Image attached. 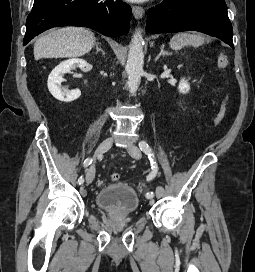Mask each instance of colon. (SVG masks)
<instances>
[{
    "instance_id": "obj_1",
    "label": "colon",
    "mask_w": 255,
    "mask_h": 272,
    "mask_svg": "<svg viewBox=\"0 0 255 272\" xmlns=\"http://www.w3.org/2000/svg\"><path fill=\"white\" fill-rule=\"evenodd\" d=\"M217 65L222 73H224L229 65L228 57L224 53H220L217 57ZM226 114V97L224 96L221 100L219 109L216 114L215 124L219 125L224 119ZM120 179L119 173H112L111 180L118 181Z\"/></svg>"
}]
</instances>
